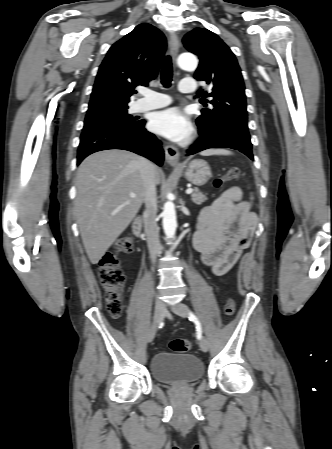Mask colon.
Listing matches in <instances>:
<instances>
[{
  "label": "colon",
  "mask_w": 332,
  "mask_h": 449,
  "mask_svg": "<svg viewBox=\"0 0 332 449\" xmlns=\"http://www.w3.org/2000/svg\"><path fill=\"white\" fill-rule=\"evenodd\" d=\"M241 177L238 168L229 169L223 176L214 180L217 188L222 187L228 181H237ZM133 241L130 236L121 237L115 247L114 252L106 253L100 261L98 272L99 280L105 290L107 308L111 315L117 317L122 311V291L125 282V276L120 268L118 259L119 253H126L132 250ZM235 311L234 300L229 298L224 308L226 316H232ZM191 348V342L187 339H174L170 342V349L174 353H186Z\"/></svg>",
  "instance_id": "obj_1"
}]
</instances>
